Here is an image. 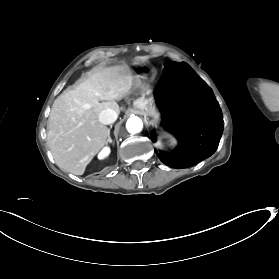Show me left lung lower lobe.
<instances>
[{
    "instance_id": "obj_1",
    "label": "left lung lower lobe",
    "mask_w": 279,
    "mask_h": 279,
    "mask_svg": "<svg viewBox=\"0 0 279 279\" xmlns=\"http://www.w3.org/2000/svg\"><path fill=\"white\" fill-rule=\"evenodd\" d=\"M155 98L163 127L179 142L171 153L155 149L164 164L187 168L216 151L223 131L221 111L212 91L186 63H165ZM151 139L156 141L153 133Z\"/></svg>"
}]
</instances>
